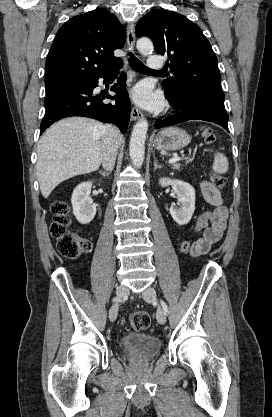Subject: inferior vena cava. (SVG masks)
Listing matches in <instances>:
<instances>
[{"instance_id":"inferior-vena-cava-1","label":"inferior vena cava","mask_w":272,"mask_h":417,"mask_svg":"<svg viewBox=\"0 0 272 417\" xmlns=\"http://www.w3.org/2000/svg\"><path fill=\"white\" fill-rule=\"evenodd\" d=\"M120 131L110 124L103 128L102 138V166L111 171L115 165L116 155L120 144Z\"/></svg>"}]
</instances>
